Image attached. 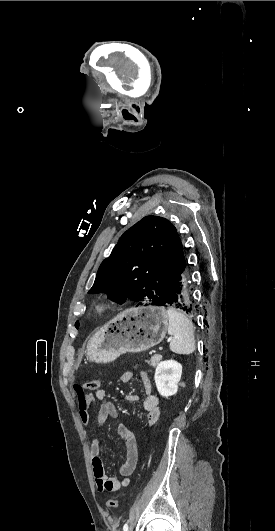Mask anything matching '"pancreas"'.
<instances>
[{"instance_id":"obj_1","label":"pancreas","mask_w":275,"mask_h":531,"mask_svg":"<svg viewBox=\"0 0 275 531\" xmlns=\"http://www.w3.org/2000/svg\"><path fill=\"white\" fill-rule=\"evenodd\" d=\"M161 359V355H153L150 361H145V363H148V365H151V367H156V365H159Z\"/></svg>"}]
</instances>
